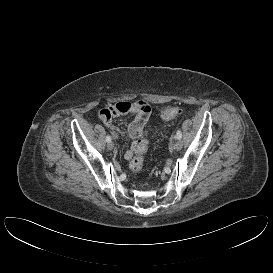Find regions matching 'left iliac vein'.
<instances>
[{
  "label": "left iliac vein",
  "mask_w": 273,
  "mask_h": 273,
  "mask_svg": "<svg viewBox=\"0 0 273 273\" xmlns=\"http://www.w3.org/2000/svg\"><path fill=\"white\" fill-rule=\"evenodd\" d=\"M182 146H183L182 141H181L180 139H178V140L175 142V145H174L175 149H176L177 151H179V150L182 149Z\"/></svg>",
  "instance_id": "obj_1"
}]
</instances>
